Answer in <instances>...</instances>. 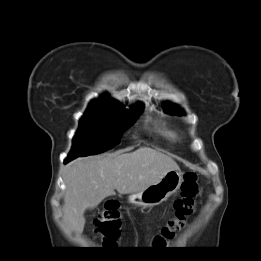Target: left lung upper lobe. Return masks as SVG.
Here are the masks:
<instances>
[{"instance_id": "obj_1", "label": "left lung upper lobe", "mask_w": 261, "mask_h": 261, "mask_svg": "<svg viewBox=\"0 0 261 261\" xmlns=\"http://www.w3.org/2000/svg\"><path fill=\"white\" fill-rule=\"evenodd\" d=\"M164 107H166V112H167V113H170V114H172V115H182V114H181V111H180L177 107H175L174 105H171V104H169V103H166V104L164 105Z\"/></svg>"}]
</instances>
